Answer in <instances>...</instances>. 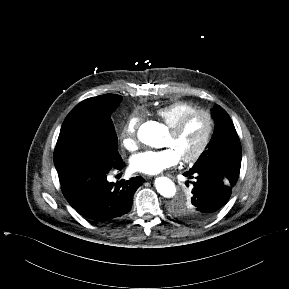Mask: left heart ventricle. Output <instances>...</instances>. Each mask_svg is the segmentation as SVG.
Wrapping results in <instances>:
<instances>
[{"label":"left heart ventricle","mask_w":289,"mask_h":289,"mask_svg":"<svg viewBox=\"0 0 289 289\" xmlns=\"http://www.w3.org/2000/svg\"><path fill=\"white\" fill-rule=\"evenodd\" d=\"M208 124L207 119L203 115L192 117L184 126L178 135H172L170 132L165 139L164 145L172 147L180 158L190 156L201 145Z\"/></svg>","instance_id":"b2bd125f"}]
</instances>
